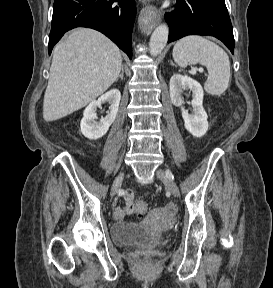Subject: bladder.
<instances>
[{
  "label": "bladder",
  "mask_w": 273,
  "mask_h": 288,
  "mask_svg": "<svg viewBox=\"0 0 273 288\" xmlns=\"http://www.w3.org/2000/svg\"><path fill=\"white\" fill-rule=\"evenodd\" d=\"M113 243L119 247L133 245L156 246L164 243L166 233L156 232L149 227L136 223H116L111 227Z\"/></svg>",
  "instance_id": "31cf9c89"
}]
</instances>
